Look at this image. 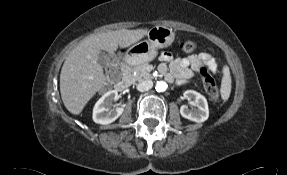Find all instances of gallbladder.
I'll return each instance as SVG.
<instances>
[{"label": "gallbladder", "mask_w": 287, "mask_h": 175, "mask_svg": "<svg viewBox=\"0 0 287 175\" xmlns=\"http://www.w3.org/2000/svg\"><path fill=\"white\" fill-rule=\"evenodd\" d=\"M98 63L103 67H105L109 63V58L105 52H103V51L99 52Z\"/></svg>", "instance_id": "gallbladder-1"}]
</instances>
